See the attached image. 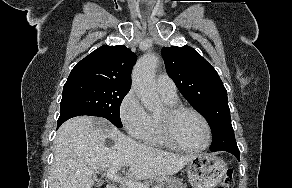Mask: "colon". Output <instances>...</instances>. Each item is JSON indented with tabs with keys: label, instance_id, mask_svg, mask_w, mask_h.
<instances>
[{
	"label": "colon",
	"instance_id": "colon-1",
	"mask_svg": "<svg viewBox=\"0 0 292 188\" xmlns=\"http://www.w3.org/2000/svg\"><path fill=\"white\" fill-rule=\"evenodd\" d=\"M233 187V171L227 169L224 178L218 188H232Z\"/></svg>",
	"mask_w": 292,
	"mask_h": 188
}]
</instances>
